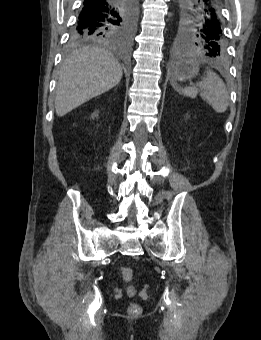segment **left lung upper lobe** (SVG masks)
Listing matches in <instances>:
<instances>
[{"instance_id": "5c2ea615", "label": "left lung upper lobe", "mask_w": 261, "mask_h": 340, "mask_svg": "<svg viewBox=\"0 0 261 340\" xmlns=\"http://www.w3.org/2000/svg\"><path fill=\"white\" fill-rule=\"evenodd\" d=\"M174 42L183 48H194L207 56L225 59L227 42L221 8L206 16L195 0H178L174 25Z\"/></svg>"}]
</instances>
